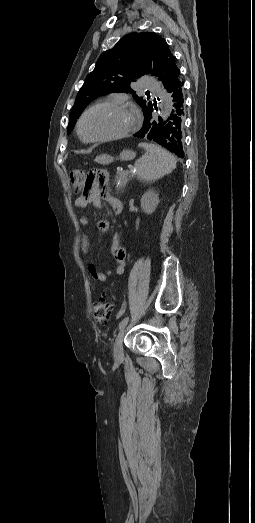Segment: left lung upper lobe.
<instances>
[{
    "label": "left lung upper lobe",
    "mask_w": 255,
    "mask_h": 523,
    "mask_svg": "<svg viewBox=\"0 0 255 523\" xmlns=\"http://www.w3.org/2000/svg\"><path fill=\"white\" fill-rule=\"evenodd\" d=\"M149 73L158 76L164 87L173 82L175 76H179L180 70L176 66L175 56L169 50L166 41L152 32L124 36L112 49L100 56L94 70L86 77L72 107L67 133H71L77 119L91 101L108 93H132L143 109L142 115H149L147 109L152 110L155 107L157 110L156 105L138 97L130 87V82L135 78ZM145 122L146 120L143 126Z\"/></svg>",
    "instance_id": "5c2ea615"
}]
</instances>
